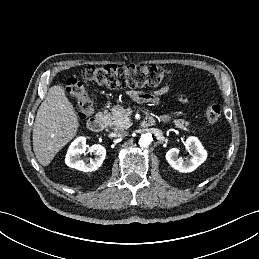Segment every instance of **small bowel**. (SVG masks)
I'll list each match as a JSON object with an SVG mask.
<instances>
[{"label": "small bowel", "mask_w": 259, "mask_h": 259, "mask_svg": "<svg viewBox=\"0 0 259 259\" xmlns=\"http://www.w3.org/2000/svg\"><path fill=\"white\" fill-rule=\"evenodd\" d=\"M169 91L168 86H164L157 90L154 94H149V93H144V92H130V96L135 100L140 103H149L152 105L158 104V96L164 95ZM181 100H185L184 97L180 96ZM171 118L170 115H165L162 117L163 121H168Z\"/></svg>", "instance_id": "c3829d8e"}]
</instances>
